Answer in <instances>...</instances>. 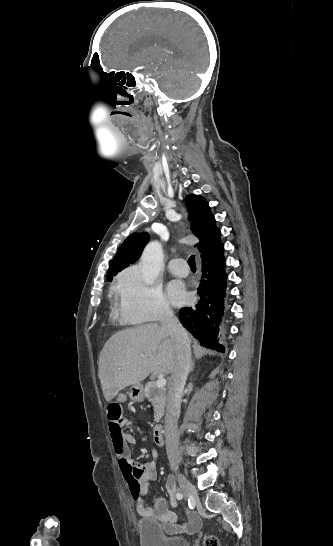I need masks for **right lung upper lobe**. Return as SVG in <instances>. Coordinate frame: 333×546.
Instances as JSON below:
<instances>
[{"mask_svg": "<svg viewBox=\"0 0 333 546\" xmlns=\"http://www.w3.org/2000/svg\"><path fill=\"white\" fill-rule=\"evenodd\" d=\"M188 219L191 221V231L199 239L198 249L201 258H208L221 245V233L215 225L216 221L206 199L191 194L186 198ZM149 241L146 232L133 233L122 243L108 269L109 274L119 272L141 256L142 250Z\"/></svg>", "mask_w": 333, "mask_h": 546, "instance_id": "1", "label": "right lung upper lobe"}]
</instances>
